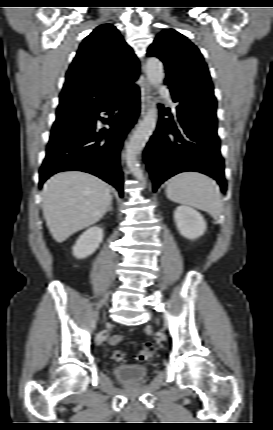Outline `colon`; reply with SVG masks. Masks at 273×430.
Segmentation results:
<instances>
[{"mask_svg": "<svg viewBox=\"0 0 273 430\" xmlns=\"http://www.w3.org/2000/svg\"><path fill=\"white\" fill-rule=\"evenodd\" d=\"M123 338H124V336L122 334L113 335L110 338V344L111 345H117L123 340ZM154 353H155L154 347L150 344H147L142 349L139 350V352L136 355V359L139 361H146V360H149L150 358H152ZM112 357L116 361H122L124 358V354H123V352L116 350L113 352Z\"/></svg>", "mask_w": 273, "mask_h": 430, "instance_id": "obj_1", "label": "colon"}]
</instances>
